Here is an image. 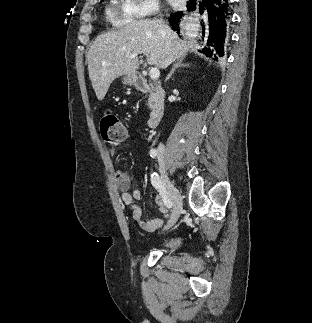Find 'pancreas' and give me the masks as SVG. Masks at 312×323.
<instances>
[{
  "label": "pancreas",
  "instance_id": "pancreas-1",
  "mask_svg": "<svg viewBox=\"0 0 312 323\" xmlns=\"http://www.w3.org/2000/svg\"><path fill=\"white\" fill-rule=\"evenodd\" d=\"M157 104V98L155 96V94H150L149 96V108H151V110H154L155 106Z\"/></svg>",
  "mask_w": 312,
  "mask_h": 323
}]
</instances>
